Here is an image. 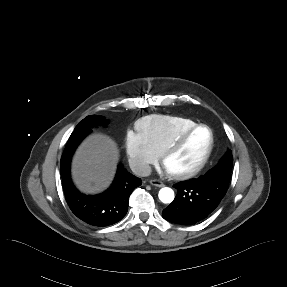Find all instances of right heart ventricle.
Masks as SVG:
<instances>
[{"mask_svg":"<svg viewBox=\"0 0 287 287\" xmlns=\"http://www.w3.org/2000/svg\"><path fill=\"white\" fill-rule=\"evenodd\" d=\"M194 125L195 121L184 116L153 114L139 120L137 128L157 152L162 153L180 133Z\"/></svg>","mask_w":287,"mask_h":287,"instance_id":"1","label":"right heart ventricle"}]
</instances>
